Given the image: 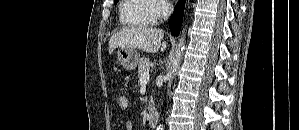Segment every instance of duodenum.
<instances>
[{
  "instance_id": "duodenum-1",
  "label": "duodenum",
  "mask_w": 299,
  "mask_h": 130,
  "mask_svg": "<svg viewBox=\"0 0 299 130\" xmlns=\"http://www.w3.org/2000/svg\"><path fill=\"white\" fill-rule=\"evenodd\" d=\"M148 124L150 127H156L158 124V116L155 112H151L148 116Z\"/></svg>"
}]
</instances>
